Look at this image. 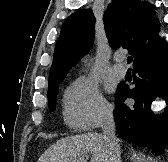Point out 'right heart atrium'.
I'll return each instance as SVG.
<instances>
[{"label": "right heart atrium", "instance_id": "d8ad5b80", "mask_svg": "<svg viewBox=\"0 0 168 162\" xmlns=\"http://www.w3.org/2000/svg\"><path fill=\"white\" fill-rule=\"evenodd\" d=\"M111 116L112 107L94 80L82 77L68 86L64 100V120L70 127L91 130L106 123Z\"/></svg>", "mask_w": 168, "mask_h": 162}]
</instances>
